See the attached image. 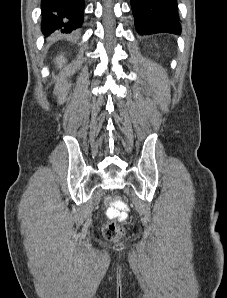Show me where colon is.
<instances>
[{"label": "colon", "mask_w": 227, "mask_h": 298, "mask_svg": "<svg viewBox=\"0 0 227 298\" xmlns=\"http://www.w3.org/2000/svg\"><path fill=\"white\" fill-rule=\"evenodd\" d=\"M106 215L107 220L102 228L103 236L108 241H118L124 235L120 226V221L125 218L124 204L120 201H113L107 209Z\"/></svg>", "instance_id": "1"}]
</instances>
